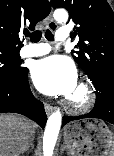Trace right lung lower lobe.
I'll return each instance as SVG.
<instances>
[{
    "label": "right lung lower lobe",
    "mask_w": 114,
    "mask_h": 156,
    "mask_svg": "<svg viewBox=\"0 0 114 156\" xmlns=\"http://www.w3.org/2000/svg\"><path fill=\"white\" fill-rule=\"evenodd\" d=\"M16 112L44 128L47 116L42 102L33 95L28 83V69L13 83L0 84V113Z\"/></svg>",
    "instance_id": "98d812e1"
}]
</instances>
